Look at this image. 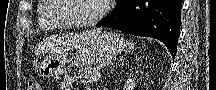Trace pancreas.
<instances>
[{
    "instance_id": "1",
    "label": "pancreas",
    "mask_w": 216,
    "mask_h": 90,
    "mask_svg": "<svg viewBox=\"0 0 216 90\" xmlns=\"http://www.w3.org/2000/svg\"><path fill=\"white\" fill-rule=\"evenodd\" d=\"M96 68H85V70H77V78L81 80V82H90V84H93L94 78H96Z\"/></svg>"
}]
</instances>
